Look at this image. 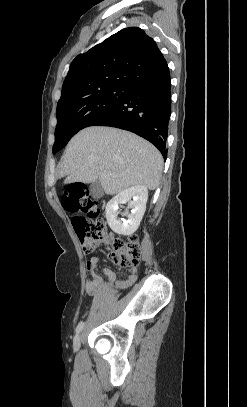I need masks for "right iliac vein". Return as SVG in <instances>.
<instances>
[{
    "label": "right iliac vein",
    "mask_w": 247,
    "mask_h": 407,
    "mask_svg": "<svg viewBox=\"0 0 247 407\" xmlns=\"http://www.w3.org/2000/svg\"><path fill=\"white\" fill-rule=\"evenodd\" d=\"M80 343H81V335L77 334L74 337V340H73V349H74V351H77L79 349Z\"/></svg>",
    "instance_id": "obj_1"
}]
</instances>
